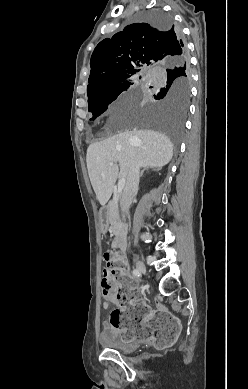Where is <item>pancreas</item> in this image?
Returning a JSON list of instances; mask_svg holds the SVG:
<instances>
[{
  "label": "pancreas",
  "mask_w": 248,
  "mask_h": 389,
  "mask_svg": "<svg viewBox=\"0 0 248 389\" xmlns=\"http://www.w3.org/2000/svg\"><path fill=\"white\" fill-rule=\"evenodd\" d=\"M107 210V220L111 224L110 230L116 238H119L124 232V224L119 213L118 197L108 203Z\"/></svg>",
  "instance_id": "cf45deb5"
}]
</instances>
